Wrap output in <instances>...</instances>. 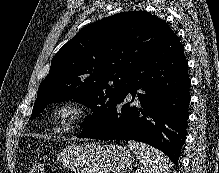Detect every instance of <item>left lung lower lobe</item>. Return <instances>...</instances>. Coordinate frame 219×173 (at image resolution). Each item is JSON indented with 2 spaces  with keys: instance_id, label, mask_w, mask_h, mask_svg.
<instances>
[{
  "instance_id": "1",
  "label": "left lung lower lobe",
  "mask_w": 219,
  "mask_h": 173,
  "mask_svg": "<svg viewBox=\"0 0 219 173\" xmlns=\"http://www.w3.org/2000/svg\"><path fill=\"white\" fill-rule=\"evenodd\" d=\"M187 70L183 46L172 31L134 67L131 89L120 99L110 119L97 131L78 137L145 142L178 166L189 118ZM136 90H140L138 104L133 105Z\"/></svg>"
}]
</instances>
